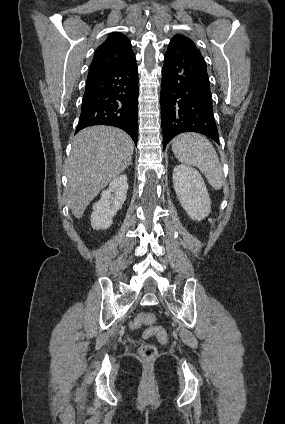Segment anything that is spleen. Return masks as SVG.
Returning a JSON list of instances; mask_svg holds the SVG:
<instances>
[{"instance_id": "obj_1", "label": "spleen", "mask_w": 285, "mask_h": 424, "mask_svg": "<svg viewBox=\"0 0 285 424\" xmlns=\"http://www.w3.org/2000/svg\"><path fill=\"white\" fill-rule=\"evenodd\" d=\"M172 150L181 163L198 167L214 189L222 188V167L207 138L197 133H183L173 139Z\"/></svg>"}]
</instances>
